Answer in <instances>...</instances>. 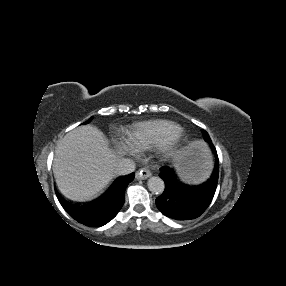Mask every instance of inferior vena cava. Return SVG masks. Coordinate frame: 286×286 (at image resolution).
Masks as SVG:
<instances>
[{
  "label": "inferior vena cava",
  "mask_w": 286,
  "mask_h": 286,
  "mask_svg": "<svg viewBox=\"0 0 286 286\" xmlns=\"http://www.w3.org/2000/svg\"><path fill=\"white\" fill-rule=\"evenodd\" d=\"M135 170V162L131 159L119 158L114 164V172L117 175H127Z\"/></svg>",
  "instance_id": "inferior-vena-cava-1"
}]
</instances>
